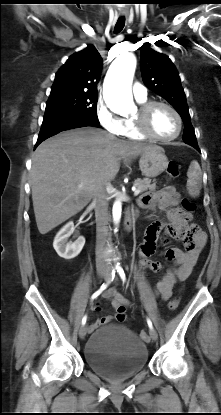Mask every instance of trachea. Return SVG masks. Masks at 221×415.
I'll use <instances>...</instances> for the list:
<instances>
[{
    "mask_svg": "<svg viewBox=\"0 0 221 415\" xmlns=\"http://www.w3.org/2000/svg\"><path fill=\"white\" fill-rule=\"evenodd\" d=\"M125 26V18L124 17H120L115 25L114 31L115 33H118L120 31H122V29Z\"/></svg>",
    "mask_w": 221,
    "mask_h": 415,
    "instance_id": "1",
    "label": "trachea"
}]
</instances>
